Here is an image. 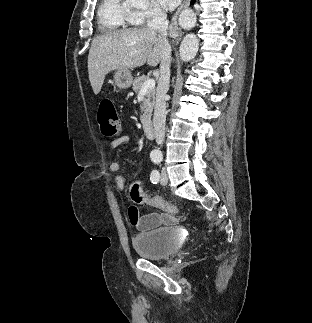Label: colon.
Here are the masks:
<instances>
[{"mask_svg": "<svg viewBox=\"0 0 312 323\" xmlns=\"http://www.w3.org/2000/svg\"><path fill=\"white\" fill-rule=\"evenodd\" d=\"M98 126L101 134L106 138H112L120 134V120L117 115L116 108L113 101L110 98H104L100 101L98 106ZM130 182L134 185L130 188V194L133 199L139 204H151L152 206L163 209L167 212L181 213V208L175 206L158 197H146L142 194L141 188L137 185L141 182L139 177H132ZM131 216L136 217V210L133 208L130 210ZM183 215V213H181Z\"/></svg>", "mask_w": 312, "mask_h": 323, "instance_id": "obj_1", "label": "colon"}]
</instances>
